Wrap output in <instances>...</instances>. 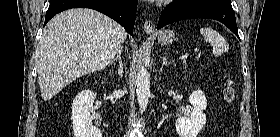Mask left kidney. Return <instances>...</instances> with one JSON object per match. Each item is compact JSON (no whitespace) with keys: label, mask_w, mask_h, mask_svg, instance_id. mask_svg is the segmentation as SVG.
<instances>
[{"label":"left kidney","mask_w":280,"mask_h":137,"mask_svg":"<svg viewBox=\"0 0 280 137\" xmlns=\"http://www.w3.org/2000/svg\"><path fill=\"white\" fill-rule=\"evenodd\" d=\"M189 102L194 109L189 116L179 117L175 123L179 137H197L206 124L207 117L204 110L207 108V99L203 91H193Z\"/></svg>","instance_id":"left-kidney-1"}]
</instances>
